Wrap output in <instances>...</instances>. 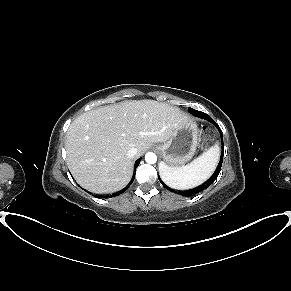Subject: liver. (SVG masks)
<instances>
[{
  "label": "liver",
  "instance_id": "obj_1",
  "mask_svg": "<svg viewBox=\"0 0 291 291\" xmlns=\"http://www.w3.org/2000/svg\"><path fill=\"white\" fill-rule=\"evenodd\" d=\"M190 117L155 100H127L81 114L66 133L68 167L83 188L94 193L123 189L133 173L127 151L142 156L152 143L167 141Z\"/></svg>",
  "mask_w": 291,
  "mask_h": 291
}]
</instances>
